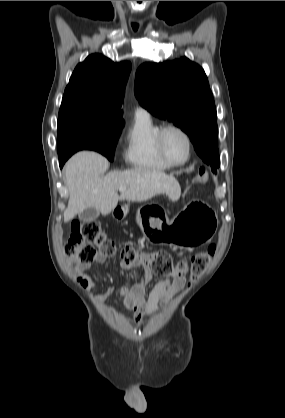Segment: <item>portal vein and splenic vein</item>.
Returning <instances> with one entry per match:
<instances>
[{
	"instance_id": "obj_1",
	"label": "portal vein and splenic vein",
	"mask_w": 285,
	"mask_h": 418,
	"mask_svg": "<svg viewBox=\"0 0 285 418\" xmlns=\"http://www.w3.org/2000/svg\"><path fill=\"white\" fill-rule=\"evenodd\" d=\"M124 190H125V188H124V187H120V188H119V191H120V192H123Z\"/></svg>"
}]
</instances>
